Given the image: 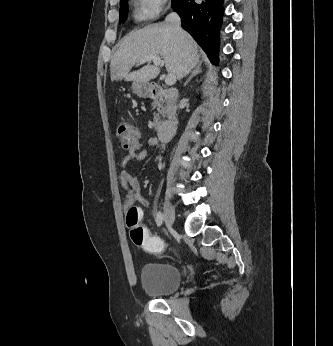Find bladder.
<instances>
[{
  "label": "bladder",
  "instance_id": "1",
  "mask_svg": "<svg viewBox=\"0 0 333 346\" xmlns=\"http://www.w3.org/2000/svg\"><path fill=\"white\" fill-rule=\"evenodd\" d=\"M181 281V271L171 264L146 265L141 271V285L153 297L173 294L179 289Z\"/></svg>",
  "mask_w": 333,
  "mask_h": 346
}]
</instances>
